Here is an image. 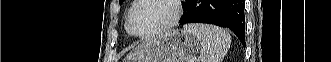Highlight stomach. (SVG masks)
Masks as SVG:
<instances>
[{
  "mask_svg": "<svg viewBox=\"0 0 331 62\" xmlns=\"http://www.w3.org/2000/svg\"><path fill=\"white\" fill-rule=\"evenodd\" d=\"M201 42L185 30H170L140 43L130 54L131 62H187Z\"/></svg>",
  "mask_w": 331,
  "mask_h": 62,
  "instance_id": "stomach-1",
  "label": "stomach"
}]
</instances>
